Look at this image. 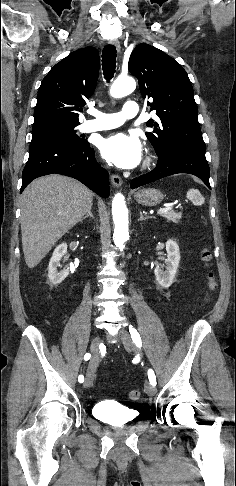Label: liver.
<instances>
[{
	"mask_svg": "<svg viewBox=\"0 0 236 486\" xmlns=\"http://www.w3.org/2000/svg\"><path fill=\"white\" fill-rule=\"evenodd\" d=\"M93 193L80 182L49 175L30 183L21 197L22 247L26 265L37 266L53 245L92 206Z\"/></svg>",
	"mask_w": 236,
	"mask_h": 486,
	"instance_id": "1",
	"label": "liver"
}]
</instances>
